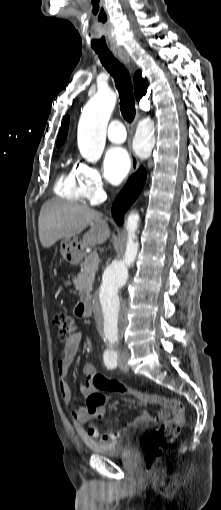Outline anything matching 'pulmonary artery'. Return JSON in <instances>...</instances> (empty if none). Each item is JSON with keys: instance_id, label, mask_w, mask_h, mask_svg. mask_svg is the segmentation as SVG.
Returning a JSON list of instances; mask_svg holds the SVG:
<instances>
[{"instance_id": "pulmonary-artery-1", "label": "pulmonary artery", "mask_w": 221, "mask_h": 510, "mask_svg": "<svg viewBox=\"0 0 221 510\" xmlns=\"http://www.w3.org/2000/svg\"><path fill=\"white\" fill-rule=\"evenodd\" d=\"M107 136L113 143H123L126 139V130L124 125L118 120L111 122L108 127Z\"/></svg>"}]
</instances>
